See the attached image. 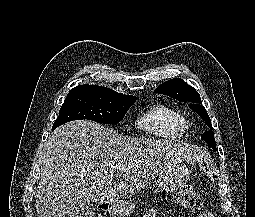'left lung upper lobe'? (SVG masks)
<instances>
[{"label": "left lung upper lobe", "instance_id": "5c2ea615", "mask_svg": "<svg viewBox=\"0 0 255 217\" xmlns=\"http://www.w3.org/2000/svg\"><path fill=\"white\" fill-rule=\"evenodd\" d=\"M155 91L179 101L190 103L192 110H194L205 121L206 125L210 127V130L203 133L201 138L213 149L217 150L211 120L206 109L201 105L202 101L199 93L192 86L185 83L182 79L174 78L162 83Z\"/></svg>", "mask_w": 255, "mask_h": 217}]
</instances>
